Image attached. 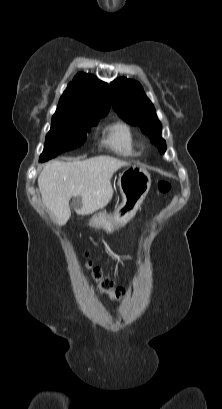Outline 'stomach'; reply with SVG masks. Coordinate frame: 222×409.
Here are the masks:
<instances>
[{"mask_svg":"<svg viewBox=\"0 0 222 409\" xmlns=\"http://www.w3.org/2000/svg\"><path fill=\"white\" fill-rule=\"evenodd\" d=\"M118 184L122 194L121 204L113 214L103 213L90 220V226L113 232L129 222L150 190L151 176L142 167L130 166L122 172Z\"/></svg>","mask_w":222,"mask_h":409,"instance_id":"1","label":"stomach"}]
</instances>
